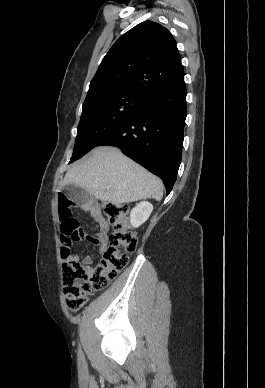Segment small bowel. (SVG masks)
<instances>
[{
    "mask_svg": "<svg viewBox=\"0 0 265 388\" xmlns=\"http://www.w3.org/2000/svg\"><path fill=\"white\" fill-rule=\"evenodd\" d=\"M78 207L90 213L92 218L99 224L100 230L96 237L86 236V240L93 245L99 247L100 252H104L108 246V232L110 229L109 223L103 217L100 207L96 202L87 201L78 204ZM76 259V258H75ZM77 260V259H76ZM93 260L90 256H86L82 259L81 263L90 266Z\"/></svg>",
    "mask_w": 265,
    "mask_h": 388,
    "instance_id": "small-bowel-1",
    "label": "small bowel"
}]
</instances>
